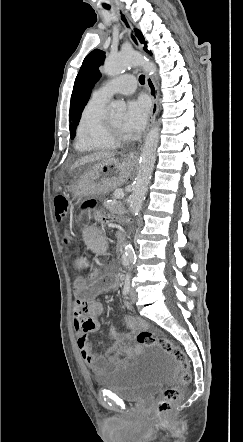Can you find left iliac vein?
Returning a JSON list of instances; mask_svg holds the SVG:
<instances>
[{
    "label": "left iliac vein",
    "mask_w": 243,
    "mask_h": 442,
    "mask_svg": "<svg viewBox=\"0 0 243 442\" xmlns=\"http://www.w3.org/2000/svg\"><path fill=\"white\" fill-rule=\"evenodd\" d=\"M136 299H137L136 292H135L134 289H131V291H130V300H131L132 302H135Z\"/></svg>",
    "instance_id": "left-iliac-vein-1"
}]
</instances>
